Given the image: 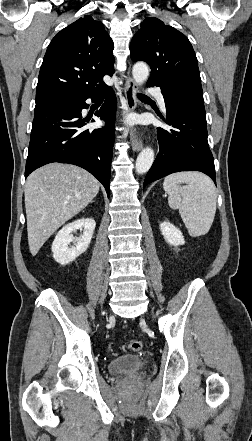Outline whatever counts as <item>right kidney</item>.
I'll use <instances>...</instances> for the list:
<instances>
[{"label": "right kidney", "mask_w": 252, "mask_h": 441, "mask_svg": "<svg viewBox=\"0 0 252 441\" xmlns=\"http://www.w3.org/2000/svg\"><path fill=\"white\" fill-rule=\"evenodd\" d=\"M96 223L92 218L79 219L65 225L56 235L52 243L53 258L61 265H67L84 253L91 242ZM83 230V234L76 238L73 232ZM71 242L75 246L69 247Z\"/></svg>", "instance_id": "1"}]
</instances>
